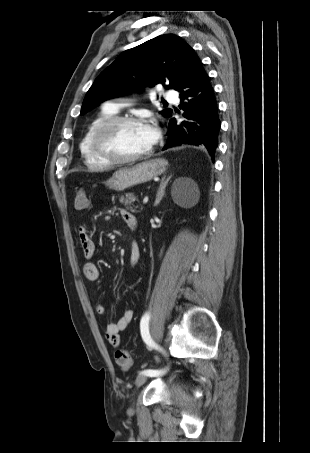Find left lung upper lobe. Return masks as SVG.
I'll return each instance as SVG.
<instances>
[{
	"label": "left lung upper lobe",
	"mask_w": 310,
	"mask_h": 453,
	"mask_svg": "<svg viewBox=\"0 0 310 453\" xmlns=\"http://www.w3.org/2000/svg\"><path fill=\"white\" fill-rule=\"evenodd\" d=\"M193 52L174 34L157 36L122 52L96 78L84 98L81 114L101 101L145 86L161 83L166 89H175L186 73ZM160 113L168 117L171 109Z\"/></svg>",
	"instance_id": "obj_1"
}]
</instances>
